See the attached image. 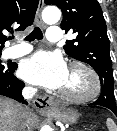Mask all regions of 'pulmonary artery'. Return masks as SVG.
Masks as SVG:
<instances>
[{
    "mask_svg": "<svg viewBox=\"0 0 117 131\" xmlns=\"http://www.w3.org/2000/svg\"><path fill=\"white\" fill-rule=\"evenodd\" d=\"M46 38L50 42H58L61 38V30L57 26H51L46 34ZM32 47L28 44L22 43L20 45L11 47L7 51V56L10 58L19 57L29 53Z\"/></svg>",
    "mask_w": 117,
    "mask_h": 131,
    "instance_id": "1",
    "label": "pulmonary artery"
}]
</instances>
